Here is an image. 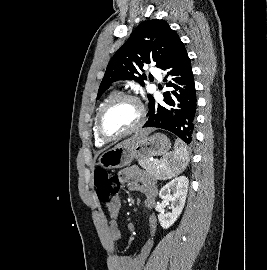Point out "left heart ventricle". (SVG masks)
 Instances as JSON below:
<instances>
[{"label": "left heart ventricle", "mask_w": 267, "mask_h": 270, "mask_svg": "<svg viewBox=\"0 0 267 270\" xmlns=\"http://www.w3.org/2000/svg\"><path fill=\"white\" fill-rule=\"evenodd\" d=\"M139 118L140 110L135 102L120 101L105 113L103 128L108 135L115 136L134 127Z\"/></svg>", "instance_id": "1"}]
</instances>
